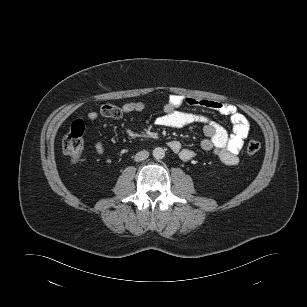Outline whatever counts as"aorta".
<instances>
[{"instance_id": "1", "label": "aorta", "mask_w": 307, "mask_h": 307, "mask_svg": "<svg viewBox=\"0 0 307 307\" xmlns=\"http://www.w3.org/2000/svg\"><path fill=\"white\" fill-rule=\"evenodd\" d=\"M153 157L157 160H160V159H163L164 156H165V151L163 150V148L161 147H156L154 150H153Z\"/></svg>"}]
</instances>
